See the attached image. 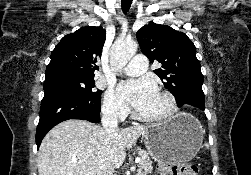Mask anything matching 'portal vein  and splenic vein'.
<instances>
[{
  "mask_svg": "<svg viewBox=\"0 0 251 175\" xmlns=\"http://www.w3.org/2000/svg\"><path fill=\"white\" fill-rule=\"evenodd\" d=\"M135 161L138 163V161H140V157H136ZM85 175H90V173H85Z\"/></svg>",
  "mask_w": 251,
  "mask_h": 175,
  "instance_id": "obj_1",
  "label": "portal vein and splenic vein"
}]
</instances>
